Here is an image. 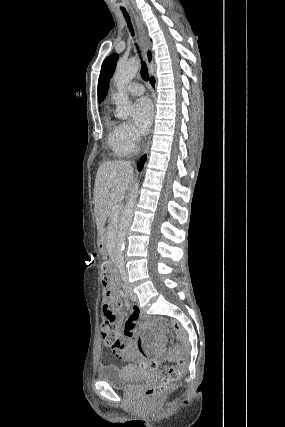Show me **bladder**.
<instances>
[{
	"label": "bladder",
	"instance_id": "1",
	"mask_svg": "<svg viewBox=\"0 0 285 427\" xmlns=\"http://www.w3.org/2000/svg\"><path fill=\"white\" fill-rule=\"evenodd\" d=\"M98 379L108 383L111 386L130 389L138 381L153 377V374L147 373L134 366H117L113 364L104 365L97 371Z\"/></svg>",
	"mask_w": 285,
	"mask_h": 427
}]
</instances>
